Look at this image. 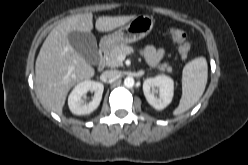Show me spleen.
Returning a JSON list of instances; mask_svg holds the SVG:
<instances>
[{
  "instance_id": "obj_1",
  "label": "spleen",
  "mask_w": 248,
  "mask_h": 165,
  "mask_svg": "<svg viewBox=\"0 0 248 165\" xmlns=\"http://www.w3.org/2000/svg\"><path fill=\"white\" fill-rule=\"evenodd\" d=\"M208 78L205 57H198L187 63L183 69L182 97L173 115L178 116L194 106L203 95Z\"/></svg>"
}]
</instances>
